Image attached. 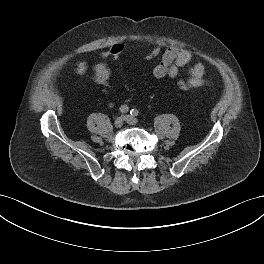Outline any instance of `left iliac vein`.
<instances>
[{"label": "left iliac vein", "instance_id": "left-iliac-vein-1", "mask_svg": "<svg viewBox=\"0 0 264 264\" xmlns=\"http://www.w3.org/2000/svg\"><path fill=\"white\" fill-rule=\"evenodd\" d=\"M124 120L130 125H134L138 122L137 118L130 116V115H125Z\"/></svg>", "mask_w": 264, "mask_h": 264}]
</instances>
